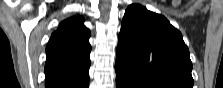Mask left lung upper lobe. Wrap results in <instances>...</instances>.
Returning <instances> with one entry per match:
<instances>
[{"instance_id":"5c2ea615","label":"left lung upper lobe","mask_w":223,"mask_h":88,"mask_svg":"<svg viewBox=\"0 0 223 88\" xmlns=\"http://www.w3.org/2000/svg\"><path fill=\"white\" fill-rule=\"evenodd\" d=\"M129 62L124 64V60ZM116 63L149 88H192V63L182 34L139 4L122 19Z\"/></svg>"}]
</instances>
